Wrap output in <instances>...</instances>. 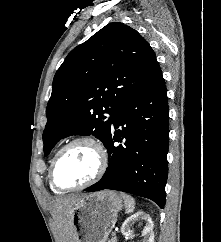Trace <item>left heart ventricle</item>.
<instances>
[{
  "mask_svg": "<svg viewBox=\"0 0 221 242\" xmlns=\"http://www.w3.org/2000/svg\"><path fill=\"white\" fill-rule=\"evenodd\" d=\"M97 164V153L90 144H75L59 159L54 172L55 181L62 187L81 184L93 176Z\"/></svg>",
  "mask_w": 221,
  "mask_h": 242,
  "instance_id": "left-heart-ventricle-1",
  "label": "left heart ventricle"
}]
</instances>
